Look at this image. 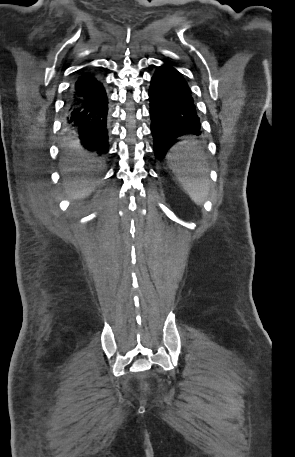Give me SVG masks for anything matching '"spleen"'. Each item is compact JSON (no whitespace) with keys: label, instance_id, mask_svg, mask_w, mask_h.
<instances>
[{"label":"spleen","instance_id":"spleen-1","mask_svg":"<svg viewBox=\"0 0 295 457\" xmlns=\"http://www.w3.org/2000/svg\"><path fill=\"white\" fill-rule=\"evenodd\" d=\"M196 145L197 142L193 139L184 140L167 157L173 172L178 176L190 198L200 205L209 193V182L206 178L195 174L201 171L204 159L203 153Z\"/></svg>","mask_w":295,"mask_h":457}]
</instances>
